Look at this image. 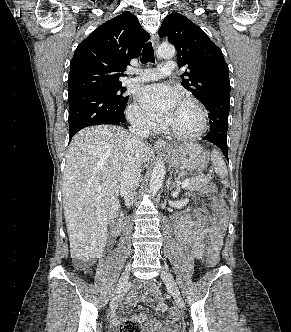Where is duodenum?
<instances>
[{"label":"duodenum","instance_id":"410a0bca","mask_svg":"<svg viewBox=\"0 0 291 332\" xmlns=\"http://www.w3.org/2000/svg\"><path fill=\"white\" fill-rule=\"evenodd\" d=\"M122 225H123V217L121 214H118L112 222L113 232L115 234H118L122 229Z\"/></svg>","mask_w":291,"mask_h":332}]
</instances>
